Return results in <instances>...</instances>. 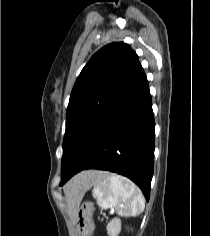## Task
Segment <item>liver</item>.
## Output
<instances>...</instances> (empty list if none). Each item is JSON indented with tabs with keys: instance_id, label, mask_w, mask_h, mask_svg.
<instances>
[{
	"instance_id": "1",
	"label": "liver",
	"mask_w": 210,
	"mask_h": 236,
	"mask_svg": "<svg viewBox=\"0 0 210 236\" xmlns=\"http://www.w3.org/2000/svg\"><path fill=\"white\" fill-rule=\"evenodd\" d=\"M100 171H83L74 176L65 186L64 192L67 198V204L72 213L76 212V206L79 204L84 193L92 186L93 182L103 175Z\"/></svg>"
}]
</instances>
